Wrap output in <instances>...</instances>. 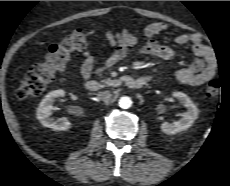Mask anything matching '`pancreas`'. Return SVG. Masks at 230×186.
<instances>
[{"mask_svg":"<svg viewBox=\"0 0 230 186\" xmlns=\"http://www.w3.org/2000/svg\"><path fill=\"white\" fill-rule=\"evenodd\" d=\"M103 86H119L121 85V81L119 79H103L101 80Z\"/></svg>","mask_w":230,"mask_h":186,"instance_id":"cf45deb5","label":"pancreas"}]
</instances>
